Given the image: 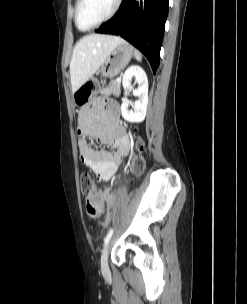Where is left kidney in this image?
I'll return each instance as SVG.
<instances>
[{"label":"left kidney","instance_id":"left-kidney-1","mask_svg":"<svg viewBox=\"0 0 247 304\" xmlns=\"http://www.w3.org/2000/svg\"><path fill=\"white\" fill-rule=\"evenodd\" d=\"M135 77L139 87L133 91V95L139 97L134 105V111L128 109L129 102L121 105L122 117L128 122L140 123L145 119L148 104V79L145 71L140 66H130L123 75L122 85L125 90L131 87V80Z\"/></svg>","mask_w":247,"mask_h":304}]
</instances>
